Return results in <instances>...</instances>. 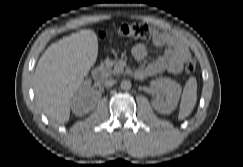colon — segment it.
Listing matches in <instances>:
<instances>
[{"label": "colon", "instance_id": "1", "mask_svg": "<svg viewBox=\"0 0 243 167\" xmlns=\"http://www.w3.org/2000/svg\"><path fill=\"white\" fill-rule=\"evenodd\" d=\"M119 34L127 39H141L150 40L154 38V30L143 23L123 24L119 29ZM196 69V63L194 59L189 58L184 65L186 74L191 75Z\"/></svg>", "mask_w": 243, "mask_h": 167}]
</instances>
